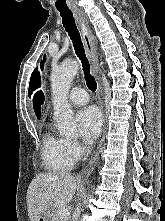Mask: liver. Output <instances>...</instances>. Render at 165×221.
Returning a JSON list of instances; mask_svg holds the SVG:
<instances>
[{
    "label": "liver",
    "mask_w": 165,
    "mask_h": 221,
    "mask_svg": "<svg viewBox=\"0 0 165 221\" xmlns=\"http://www.w3.org/2000/svg\"><path fill=\"white\" fill-rule=\"evenodd\" d=\"M78 179L66 173H40L27 190V208L30 221H37L48 208H62L73 198Z\"/></svg>",
    "instance_id": "obj_1"
}]
</instances>
